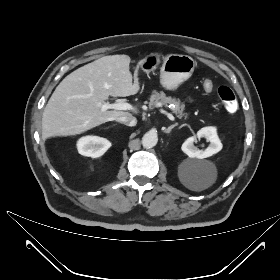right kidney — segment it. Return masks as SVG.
I'll list each match as a JSON object with an SVG mask.
<instances>
[{
  "label": "right kidney",
  "instance_id": "obj_1",
  "mask_svg": "<svg viewBox=\"0 0 280 280\" xmlns=\"http://www.w3.org/2000/svg\"><path fill=\"white\" fill-rule=\"evenodd\" d=\"M111 146L110 141L98 136H85L78 140L79 154L92 158L102 156Z\"/></svg>",
  "mask_w": 280,
  "mask_h": 280
}]
</instances>
